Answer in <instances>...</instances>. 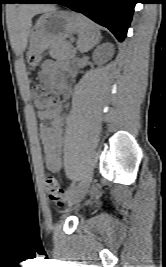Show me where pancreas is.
<instances>
[{
	"instance_id": "cf45deb5",
	"label": "pancreas",
	"mask_w": 166,
	"mask_h": 267,
	"mask_svg": "<svg viewBox=\"0 0 166 267\" xmlns=\"http://www.w3.org/2000/svg\"><path fill=\"white\" fill-rule=\"evenodd\" d=\"M50 55L57 60L69 59L75 56V49L66 41L58 40L50 47Z\"/></svg>"
}]
</instances>
